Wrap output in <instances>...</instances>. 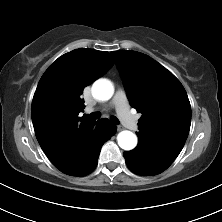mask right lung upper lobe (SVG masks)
I'll use <instances>...</instances> for the list:
<instances>
[{
	"instance_id": "1",
	"label": "right lung upper lobe",
	"mask_w": 222,
	"mask_h": 222,
	"mask_svg": "<svg viewBox=\"0 0 222 222\" xmlns=\"http://www.w3.org/2000/svg\"><path fill=\"white\" fill-rule=\"evenodd\" d=\"M113 65L108 52L82 48L59 57L41 77L32 101V121L42 150L59 170L79 161L95 123L78 116L85 107L83 89Z\"/></svg>"
}]
</instances>
